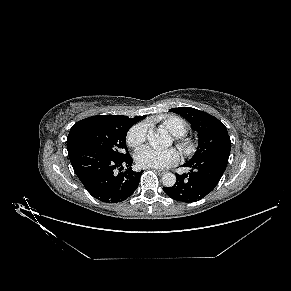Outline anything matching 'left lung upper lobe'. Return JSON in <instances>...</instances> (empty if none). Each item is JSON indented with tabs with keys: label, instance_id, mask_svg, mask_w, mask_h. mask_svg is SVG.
Listing matches in <instances>:
<instances>
[{
	"label": "left lung upper lobe",
	"instance_id": "left-lung-upper-lobe-1",
	"mask_svg": "<svg viewBox=\"0 0 291 291\" xmlns=\"http://www.w3.org/2000/svg\"><path fill=\"white\" fill-rule=\"evenodd\" d=\"M198 132L197 151L188 162H196L211 156L229 157L231 141L224 124L214 116L191 107L172 108Z\"/></svg>",
	"mask_w": 291,
	"mask_h": 291
}]
</instances>
